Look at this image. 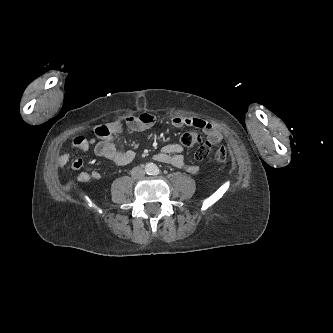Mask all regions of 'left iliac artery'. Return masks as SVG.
<instances>
[{"instance_id": "44dca946", "label": "left iliac artery", "mask_w": 333, "mask_h": 333, "mask_svg": "<svg viewBox=\"0 0 333 333\" xmlns=\"http://www.w3.org/2000/svg\"><path fill=\"white\" fill-rule=\"evenodd\" d=\"M160 173V171H159V169L158 168H156L155 170H154V174H159Z\"/></svg>"}]
</instances>
